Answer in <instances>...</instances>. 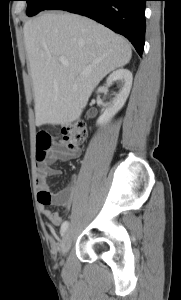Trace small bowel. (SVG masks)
I'll list each match as a JSON object with an SVG mask.
<instances>
[{"label": "small bowel", "mask_w": 181, "mask_h": 300, "mask_svg": "<svg viewBox=\"0 0 181 300\" xmlns=\"http://www.w3.org/2000/svg\"><path fill=\"white\" fill-rule=\"evenodd\" d=\"M75 156L76 153H71L64 157L70 159ZM59 159L60 156L58 149H52L37 167L38 202L43 207V215L47 218L50 224L55 227L61 224L62 217L58 211H52L47 207L54 205L60 208L69 209L72 205L76 192V186L74 184L59 192L51 191V184L48 178L60 173L59 170L53 167V164Z\"/></svg>", "instance_id": "1"}]
</instances>
